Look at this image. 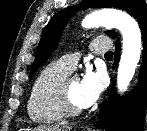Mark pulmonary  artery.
<instances>
[{"label": "pulmonary artery", "mask_w": 147, "mask_h": 131, "mask_svg": "<svg viewBox=\"0 0 147 131\" xmlns=\"http://www.w3.org/2000/svg\"><path fill=\"white\" fill-rule=\"evenodd\" d=\"M111 48V41L107 38H96L91 41L89 49L94 54H102L109 51ZM78 56L76 54H67L59 59V62L70 72L76 67Z\"/></svg>", "instance_id": "1"}]
</instances>
